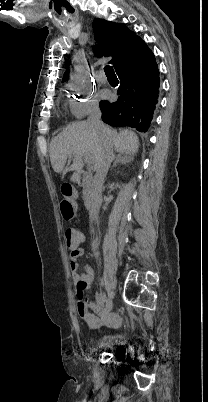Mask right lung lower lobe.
Wrapping results in <instances>:
<instances>
[{"label":"right lung lower lobe","mask_w":208,"mask_h":402,"mask_svg":"<svg viewBox=\"0 0 208 402\" xmlns=\"http://www.w3.org/2000/svg\"><path fill=\"white\" fill-rule=\"evenodd\" d=\"M120 79L118 100L100 104L103 122L147 132L159 96V70L153 52L136 36L115 67Z\"/></svg>","instance_id":"obj_1"}]
</instances>
